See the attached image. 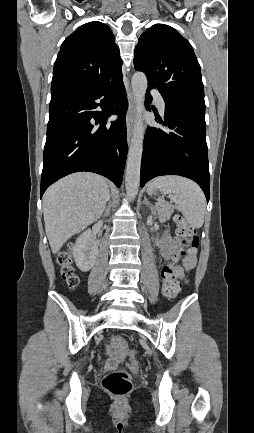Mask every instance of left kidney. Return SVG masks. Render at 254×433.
<instances>
[{
	"label": "left kidney",
	"mask_w": 254,
	"mask_h": 433,
	"mask_svg": "<svg viewBox=\"0 0 254 433\" xmlns=\"http://www.w3.org/2000/svg\"><path fill=\"white\" fill-rule=\"evenodd\" d=\"M155 243H156L157 246H159L160 243H161V241H160L159 239H156V242H155Z\"/></svg>",
	"instance_id": "left-kidney-1"
}]
</instances>
